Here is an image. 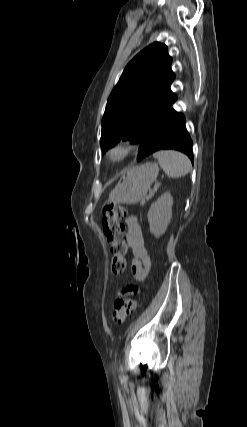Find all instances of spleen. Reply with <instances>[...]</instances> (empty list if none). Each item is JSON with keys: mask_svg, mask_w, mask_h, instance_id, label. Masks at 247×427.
I'll list each match as a JSON object with an SVG mask.
<instances>
[{"mask_svg": "<svg viewBox=\"0 0 247 427\" xmlns=\"http://www.w3.org/2000/svg\"><path fill=\"white\" fill-rule=\"evenodd\" d=\"M154 157L157 158L161 168L171 178L185 176L192 169L189 158L178 151L162 150L156 152Z\"/></svg>", "mask_w": 247, "mask_h": 427, "instance_id": "obj_1", "label": "spleen"}]
</instances>
